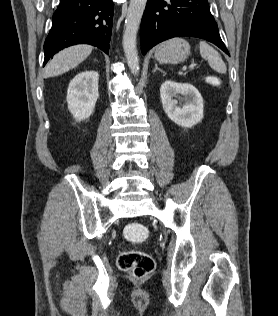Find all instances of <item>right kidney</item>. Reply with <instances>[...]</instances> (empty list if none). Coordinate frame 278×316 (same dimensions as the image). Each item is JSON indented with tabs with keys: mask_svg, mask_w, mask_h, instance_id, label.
I'll return each mask as SVG.
<instances>
[{
	"mask_svg": "<svg viewBox=\"0 0 278 316\" xmlns=\"http://www.w3.org/2000/svg\"><path fill=\"white\" fill-rule=\"evenodd\" d=\"M99 75L96 71H82L68 86V109L77 121L87 119L92 114L98 93Z\"/></svg>",
	"mask_w": 278,
	"mask_h": 316,
	"instance_id": "obj_1",
	"label": "right kidney"
}]
</instances>
